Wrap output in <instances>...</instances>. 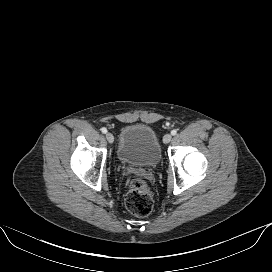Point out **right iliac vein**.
Here are the masks:
<instances>
[{
    "label": "right iliac vein",
    "instance_id": "obj_1",
    "mask_svg": "<svg viewBox=\"0 0 272 272\" xmlns=\"http://www.w3.org/2000/svg\"><path fill=\"white\" fill-rule=\"evenodd\" d=\"M106 139L109 143H113L114 142V136L111 133H107L106 134Z\"/></svg>",
    "mask_w": 272,
    "mask_h": 272
}]
</instances>
